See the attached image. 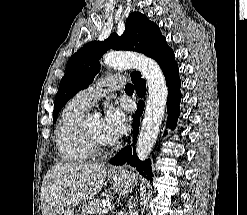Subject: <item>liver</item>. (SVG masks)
<instances>
[{
  "label": "liver",
  "instance_id": "6515ba94",
  "mask_svg": "<svg viewBox=\"0 0 247 215\" xmlns=\"http://www.w3.org/2000/svg\"><path fill=\"white\" fill-rule=\"evenodd\" d=\"M105 179L103 164H54L42 182V215H59L65 207L90 199L102 189Z\"/></svg>",
  "mask_w": 247,
  "mask_h": 215
}]
</instances>
